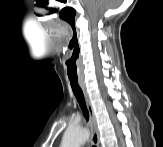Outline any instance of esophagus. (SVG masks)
<instances>
[{
	"instance_id": "1",
	"label": "esophagus",
	"mask_w": 163,
	"mask_h": 147,
	"mask_svg": "<svg viewBox=\"0 0 163 147\" xmlns=\"http://www.w3.org/2000/svg\"><path fill=\"white\" fill-rule=\"evenodd\" d=\"M80 87L82 89L86 104H87V108L89 111V117H90V128H91V143L93 145L99 146V130H98V126H97V121H96V117L94 114V110L91 104V100H90V96L86 90V86L83 82L80 83Z\"/></svg>"
}]
</instances>
